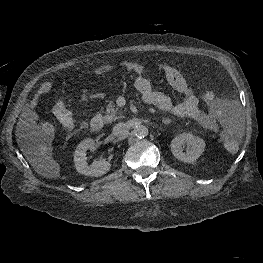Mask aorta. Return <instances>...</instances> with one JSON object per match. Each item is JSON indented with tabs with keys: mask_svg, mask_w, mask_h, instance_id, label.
<instances>
[{
	"mask_svg": "<svg viewBox=\"0 0 263 263\" xmlns=\"http://www.w3.org/2000/svg\"><path fill=\"white\" fill-rule=\"evenodd\" d=\"M149 130L146 126L144 125H138L137 127H135L134 129V134L138 137V138H144L148 135Z\"/></svg>",
	"mask_w": 263,
	"mask_h": 263,
	"instance_id": "obj_1",
	"label": "aorta"
}]
</instances>
